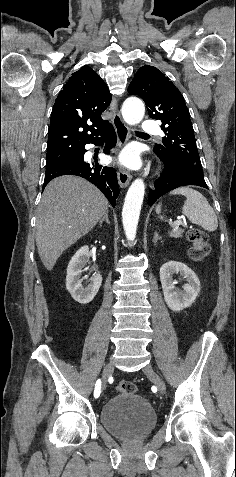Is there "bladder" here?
<instances>
[{
  "label": "bladder",
  "instance_id": "1",
  "mask_svg": "<svg viewBox=\"0 0 236 477\" xmlns=\"http://www.w3.org/2000/svg\"><path fill=\"white\" fill-rule=\"evenodd\" d=\"M101 423L112 435L126 439L146 438L155 428L157 414L150 403L138 394L118 393L100 409Z\"/></svg>",
  "mask_w": 236,
  "mask_h": 477
}]
</instances>
